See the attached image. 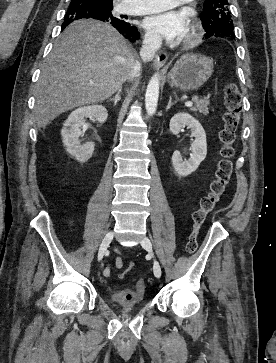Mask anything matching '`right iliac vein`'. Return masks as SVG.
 Segmentation results:
<instances>
[{
    "label": "right iliac vein",
    "mask_w": 276,
    "mask_h": 363,
    "mask_svg": "<svg viewBox=\"0 0 276 363\" xmlns=\"http://www.w3.org/2000/svg\"><path fill=\"white\" fill-rule=\"evenodd\" d=\"M114 233L113 231H109L106 233V235L104 236L101 245L99 247L98 250V261H101L103 256L105 255L107 248L109 247L112 239H113Z\"/></svg>",
    "instance_id": "1"
}]
</instances>
